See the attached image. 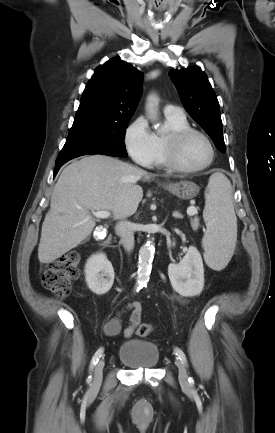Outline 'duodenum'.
Segmentation results:
<instances>
[{"label":"duodenum","instance_id":"410a0bca","mask_svg":"<svg viewBox=\"0 0 275 433\" xmlns=\"http://www.w3.org/2000/svg\"><path fill=\"white\" fill-rule=\"evenodd\" d=\"M104 237H105L104 235H99V237H98L99 240L103 242V244L105 243V242H104Z\"/></svg>","mask_w":275,"mask_h":433}]
</instances>
